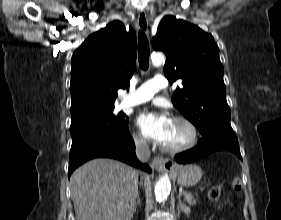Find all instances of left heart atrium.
Listing matches in <instances>:
<instances>
[{
    "label": "left heart atrium",
    "instance_id": "obj_1",
    "mask_svg": "<svg viewBox=\"0 0 281 220\" xmlns=\"http://www.w3.org/2000/svg\"><path fill=\"white\" fill-rule=\"evenodd\" d=\"M172 124L166 114L142 113L138 118V125L144 135L152 140L163 143Z\"/></svg>",
    "mask_w": 281,
    "mask_h": 220
}]
</instances>
